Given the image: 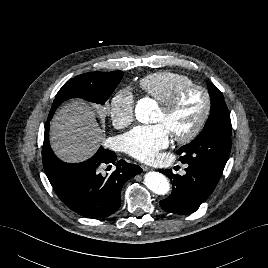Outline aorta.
<instances>
[{
	"label": "aorta",
	"instance_id": "1",
	"mask_svg": "<svg viewBox=\"0 0 268 268\" xmlns=\"http://www.w3.org/2000/svg\"><path fill=\"white\" fill-rule=\"evenodd\" d=\"M155 109V105L151 99H140L135 108L136 119L144 124L151 122V114ZM146 187L158 195H165L170 190V183L167 178L159 172H148L144 176Z\"/></svg>",
	"mask_w": 268,
	"mask_h": 268
}]
</instances>
